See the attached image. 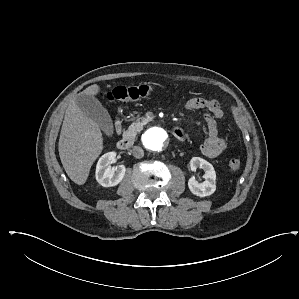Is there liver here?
Returning a JSON list of instances; mask_svg holds the SVG:
<instances>
[{
	"label": "liver",
	"mask_w": 299,
	"mask_h": 299,
	"mask_svg": "<svg viewBox=\"0 0 299 299\" xmlns=\"http://www.w3.org/2000/svg\"><path fill=\"white\" fill-rule=\"evenodd\" d=\"M100 87L93 84L83 94L96 95ZM59 156L69 178L83 185L92 164L103 150V136L99 125L89 118L73 99L66 109L58 143Z\"/></svg>",
	"instance_id": "6515ba94"
}]
</instances>
